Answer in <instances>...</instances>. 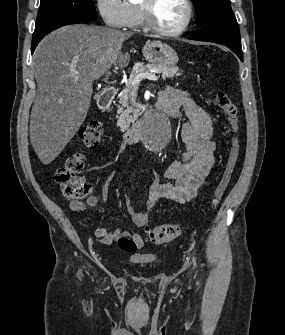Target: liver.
I'll list each match as a JSON object with an SVG mask.
<instances>
[{"label": "liver", "instance_id": "6515ba94", "mask_svg": "<svg viewBox=\"0 0 285 335\" xmlns=\"http://www.w3.org/2000/svg\"><path fill=\"white\" fill-rule=\"evenodd\" d=\"M123 34L114 28L75 24L48 34L33 56L38 84L30 120L31 144L42 164L53 162L82 126L93 82L112 66H128Z\"/></svg>", "mask_w": 285, "mask_h": 335}]
</instances>
